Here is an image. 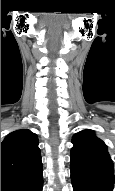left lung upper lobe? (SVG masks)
I'll return each instance as SVG.
<instances>
[{
  "label": "left lung upper lobe",
  "instance_id": "left-lung-upper-lobe-1",
  "mask_svg": "<svg viewBox=\"0 0 115 191\" xmlns=\"http://www.w3.org/2000/svg\"><path fill=\"white\" fill-rule=\"evenodd\" d=\"M71 163L103 169L114 174L113 162L107 151V145L86 129L78 132L72 138Z\"/></svg>",
  "mask_w": 115,
  "mask_h": 191
}]
</instances>
